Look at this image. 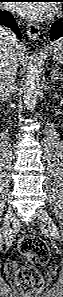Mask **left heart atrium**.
<instances>
[{"mask_svg":"<svg viewBox=\"0 0 63 297\" xmlns=\"http://www.w3.org/2000/svg\"><path fill=\"white\" fill-rule=\"evenodd\" d=\"M9 8L13 12L30 19H41L50 11L46 4L39 3H13L9 5Z\"/></svg>","mask_w":63,"mask_h":297,"instance_id":"obj_1","label":"left heart atrium"}]
</instances>
